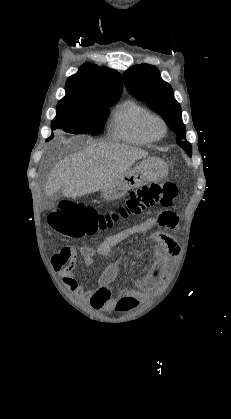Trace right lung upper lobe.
<instances>
[{
    "label": "right lung upper lobe",
    "mask_w": 231,
    "mask_h": 419,
    "mask_svg": "<svg viewBox=\"0 0 231 419\" xmlns=\"http://www.w3.org/2000/svg\"><path fill=\"white\" fill-rule=\"evenodd\" d=\"M122 81V76L117 71L85 63L76 74L67 79L66 96L63 99H119L123 88Z\"/></svg>",
    "instance_id": "1"
}]
</instances>
